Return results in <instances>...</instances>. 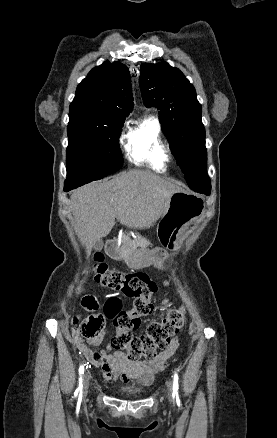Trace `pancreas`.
I'll return each instance as SVG.
<instances>
[{"mask_svg": "<svg viewBox=\"0 0 277 438\" xmlns=\"http://www.w3.org/2000/svg\"><path fill=\"white\" fill-rule=\"evenodd\" d=\"M149 241L150 238L148 235H139L137 240L126 239L124 235H114L111 239H106L104 244H114L117 247V250L114 253H125L126 250L128 253H142L144 250L142 244L147 246Z\"/></svg>", "mask_w": 277, "mask_h": 438, "instance_id": "pancreas-1", "label": "pancreas"}]
</instances>
